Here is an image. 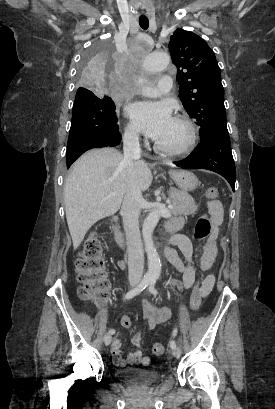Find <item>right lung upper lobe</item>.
Wrapping results in <instances>:
<instances>
[{
    "label": "right lung upper lobe",
    "mask_w": 275,
    "mask_h": 409,
    "mask_svg": "<svg viewBox=\"0 0 275 409\" xmlns=\"http://www.w3.org/2000/svg\"><path fill=\"white\" fill-rule=\"evenodd\" d=\"M90 90H77V92H88Z\"/></svg>",
    "instance_id": "right-lung-upper-lobe-1"
}]
</instances>
